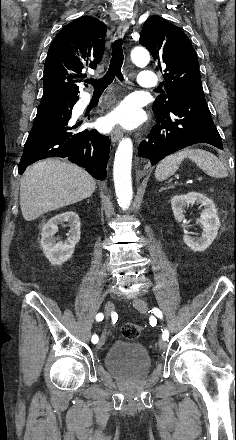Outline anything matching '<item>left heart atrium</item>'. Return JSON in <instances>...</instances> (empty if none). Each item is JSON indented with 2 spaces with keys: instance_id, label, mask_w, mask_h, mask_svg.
<instances>
[{
  "instance_id": "left-heart-atrium-1",
  "label": "left heart atrium",
  "mask_w": 236,
  "mask_h": 440,
  "mask_svg": "<svg viewBox=\"0 0 236 440\" xmlns=\"http://www.w3.org/2000/svg\"><path fill=\"white\" fill-rule=\"evenodd\" d=\"M136 122L134 106L129 102H123L116 107L107 117L106 126L116 124L130 127Z\"/></svg>"
}]
</instances>
